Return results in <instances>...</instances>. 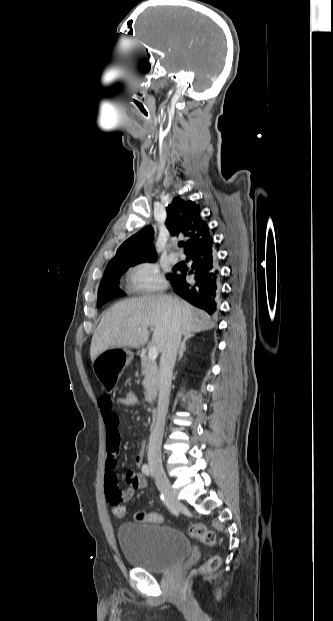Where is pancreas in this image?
Returning <instances> with one entry per match:
<instances>
[{
	"mask_svg": "<svg viewBox=\"0 0 333 621\" xmlns=\"http://www.w3.org/2000/svg\"><path fill=\"white\" fill-rule=\"evenodd\" d=\"M141 364L142 374L144 375L145 401L152 402L156 398L159 388V371L156 363L150 360L149 357H143Z\"/></svg>",
	"mask_w": 333,
	"mask_h": 621,
	"instance_id": "cf45deb5",
	"label": "pancreas"
}]
</instances>
